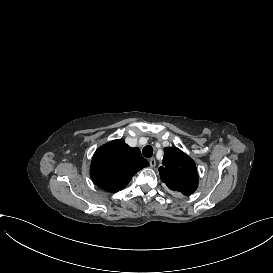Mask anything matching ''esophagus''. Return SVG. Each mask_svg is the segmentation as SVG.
<instances>
[{"label":"esophagus","instance_id":"esophagus-1","mask_svg":"<svg viewBox=\"0 0 273 273\" xmlns=\"http://www.w3.org/2000/svg\"><path fill=\"white\" fill-rule=\"evenodd\" d=\"M149 164H150V167H152V168L155 167V165H156V160H155L154 157L150 159Z\"/></svg>","mask_w":273,"mask_h":273}]
</instances>
